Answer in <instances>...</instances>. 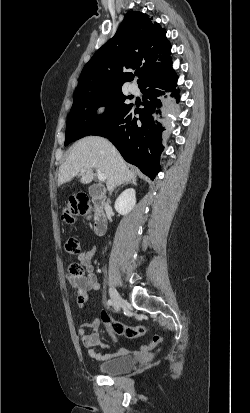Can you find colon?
<instances>
[{
	"instance_id": "1",
	"label": "colon",
	"mask_w": 250,
	"mask_h": 413,
	"mask_svg": "<svg viewBox=\"0 0 250 413\" xmlns=\"http://www.w3.org/2000/svg\"><path fill=\"white\" fill-rule=\"evenodd\" d=\"M89 214L90 204L87 198L85 196H73L63 208L62 219L66 224L71 225L76 216H88ZM65 251L70 255L79 254L81 251L79 240L74 236L69 237L65 242ZM71 272L77 276L84 275V269L78 264H74L71 267ZM101 319L117 335L127 338H137L147 334V329L143 322H136L134 327L126 326L121 322L111 319L105 312L101 313ZM160 342L161 337L156 335L148 343H139L137 349L139 350L141 348L142 352H148L149 349H155Z\"/></svg>"
}]
</instances>
